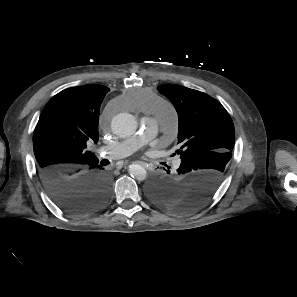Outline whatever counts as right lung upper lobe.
<instances>
[{
  "label": "right lung upper lobe",
  "instance_id": "cb5924a9",
  "mask_svg": "<svg viewBox=\"0 0 297 297\" xmlns=\"http://www.w3.org/2000/svg\"><path fill=\"white\" fill-rule=\"evenodd\" d=\"M109 88L91 84L65 89L44 107L33 134L38 169L78 170L98 161L86 142L99 139V109Z\"/></svg>",
  "mask_w": 297,
  "mask_h": 297
}]
</instances>
